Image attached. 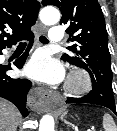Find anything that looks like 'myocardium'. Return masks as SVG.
Instances as JSON below:
<instances>
[{"mask_svg":"<svg viewBox=\"0 0 117 131\" xmlns=\"http://www.w3.org/2000/svg\"><path fill=\"white\" fill-rule=\"evenodd\" d=\"M92 87L89 74L80 68L73 69L66 80L65 91L73 95H81L88 92Z\"/></svg>","mask_w":117,"mask_h":131,"instance_id":"obj_1","label":"myocardium"}]
</instances>
